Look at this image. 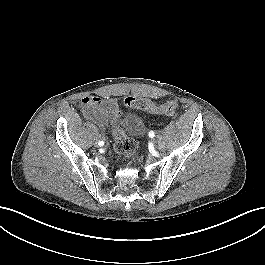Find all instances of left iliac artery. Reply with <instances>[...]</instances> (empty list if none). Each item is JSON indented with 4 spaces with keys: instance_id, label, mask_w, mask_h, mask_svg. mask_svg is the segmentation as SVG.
<instances>
[{
    "instance_id": "44dca946",
    "label": "left iliac artery",
    "mask_w": 265,
    "mask_h": 265,
    "mask_svg": "<svg viewBox=\"0 0 265 265\" xmlns=\"http://www.w3.org/2000/svg\"><path fill=\"white\" fill-rule=\"evenodd\" d=\"M155 136V133L153 131L149 132V137L153 138Z\"/></svg>"
}]
</instances>
